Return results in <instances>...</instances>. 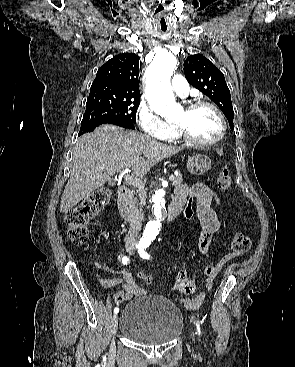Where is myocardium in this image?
Listing matches in <instances>:
<instances>
[{"mask_svg":"<svg viewBox=\"0 0 295 367\" xmlns=\"http://www.w3.org/2000/svg\"><path fill=\"white\" fill-rule=\"evenodd\" d=\"M203 106L211 108L219 118L221 129H220L219 135L216 138H214L212 140H208V141L197 140L184 127H182L179 124H176L178 134L187 143H189L193 146H197V147H209V146H213V145L218 144L224 138V136L226 134V131H227V124H226L224 114L219 109V107L217 105H215L214 103H212L210 101H206V100H197V101H194V102L190 103L186 107V110L190 111V110H194L196 108L203 107Z\"/></svg>","mask_w":295,"mask_h":367,"instance_id":"f54148a6","label":"myocardium"}]
</instances>
